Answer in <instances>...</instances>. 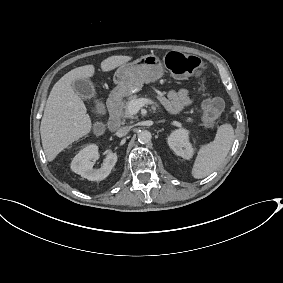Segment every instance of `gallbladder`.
<instances>
[{
  "label": "gallbladder",
  "mask_w": 283,
  "mask_h": 283,
  "mask_svg": "<svg viewBox=\"0 0 283 283\" xmlns=\"http://www.w3.org/2000/svg\"><path fill=\"white\" fill-rule=\"evenodd\" d=\"M74 88L82 97H88L89 99H95L97 97V91L93 89V85L89 81H77L74 84Z\"/></svg>",
  "instance_id": "1"
}]
</instances>
